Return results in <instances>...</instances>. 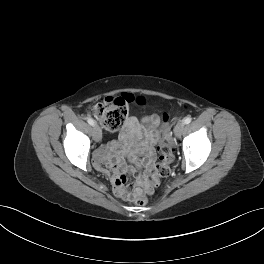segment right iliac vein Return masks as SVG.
<instances>
[{
  "instance_id": "right-iliac-vein-1",
  "label": "right iliac vein",
  "mask_w": 264,
  "mask_h": 264,
  "mask_svg": "<svg viewBox=\"0 0 264 264\" xmlns=\"http://www.w3.org/2000/svg\"><path fill=\"white\" fill-rule=\"evenodd\" d=\"M93 135H94V139L96 142H100L102 139V132L101 129L99 128V126H94V130H93Z\"/></svg>"
}]
</instances>
